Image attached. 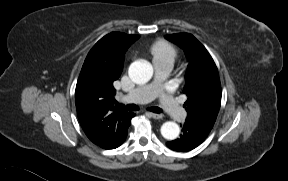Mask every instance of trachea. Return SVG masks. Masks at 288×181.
<instances>
[{
	"label": "trachea",
	"instance_id": "trachea-1",
	"mask_svg": "<svg viewBox=\"0 0 288 181\" xmlns=\"http://www.w3.org/2000/svg\"><path fill=\"white\" fill-rule=\"evenodd\" d=\"M116 105L117 106H123L122 104H120L118 102H116ZM125 108L129 111L139 110V107L136 104H128ZM148 110L151 112H154V113H162V109L159 107H150V108H148Z\"/></svg>",
	"mask_w": 288,
	"mask_h": 181
}]
</instances>
